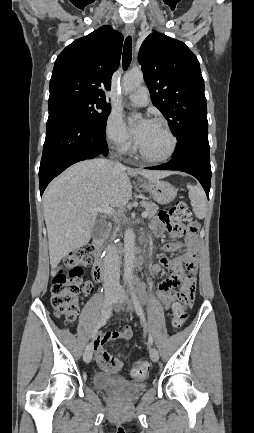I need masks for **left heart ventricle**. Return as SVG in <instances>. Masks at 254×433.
<instances>
[{
	"label": "left heart ventricle",
	"instance_id": "obj_1",
	"mask_svg": "<svg viewBox=\"0 0 254 433\" xmlns=\"http://www.w3.org/2000/svg\"><path fill=\"white\" fill-rule=\"evenodd\" d=\"M138 144L147 155L161 157L168 152L171 140L161 125L151 122Z\"/></svg>",
	"mask_w": 254,
	"mask_h": 433
}]
</instances>
